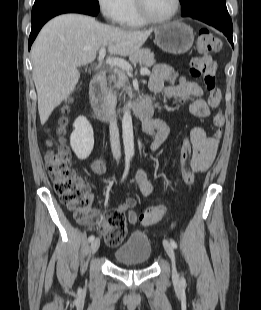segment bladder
Wrapping results in <instances>:
<instances>
[{
  "mask_svg": "<svg viewBox=\"0 0 261 310\" xmlns=\"http://www.w3.org/2000/svg\"><path fill=\"white\" fill-rule=\"evenodd\" d=\"M114 259L123 264H145L152 257V245L148 235L133 231L128 238L113 251Z\"/></svg>",
  "mask_w": 261,
  "mask_h": 310,
  "instance_id": "obj_1",
  "label": "bladder"
}]
</instances>
